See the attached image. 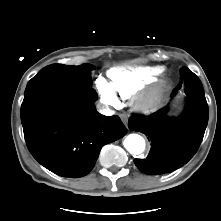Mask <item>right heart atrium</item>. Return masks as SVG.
<instances>
[{
  "label": "right heart atrium",
  "mask_w": 221,
  "mask_h": 221,
  "mask_svg": "<svg viewBox=\"0 0 221 221\" xmlns=\"http://www.w3.org/2000/svg\"><path fill=\"white\" fill-rule=\"evenodd\" d=\"M97 91L100 95L101 101L108 105L116 107L119 104L116 94L112 90L111 86L103 79H98L96 83Z\"/></svg>",
  "instance_id": "1"
}]
</instances>
